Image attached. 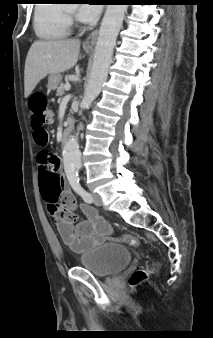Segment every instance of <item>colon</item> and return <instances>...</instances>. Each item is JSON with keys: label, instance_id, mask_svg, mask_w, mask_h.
Returning <instances> with one entry per match:
<instances>
[{"label": "colon", "instance_id": "colon-1", "mask_svg": "<svg viewBox=\"0 0 213 338\" xmlns=\"http://www.w3.org/2000/svg\"><path fill=\"white\" fill-rule=\"evenodd\" d=\"M29 108L32 112L31 123L34 129L33 137L36 145L38 147H45L49 143V134L44 128V125L50 124L53 120V113L51 108L48 105L47 98L44 93L38 92L30 96L29 98ZM42 157L43 153H42ZM57 167L49 168L43 167V178L47 184V191L50 193H54L57 188L56 181V172ZM49 212L54 216L57 221V217L59 216L60 205L56 202L49 204ZM65 218L68 221H75L76 214L68 213L65 215ZM121 242H124L130 246H135L137 244L136 238L132 236H125L118 239ZM150 273L149 268H142L136 271L130 278V282L132 285H138L144 282Z\"/></svg>", "mask_w": 213, "mask_h": 338}]
</instances>
